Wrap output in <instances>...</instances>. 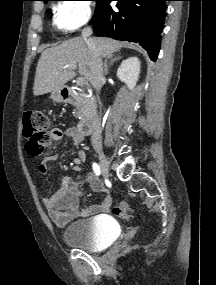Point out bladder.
<instances>
[{"instance_id": "bladder-1", "label": "bladder", "mask_w": 216, "mask_h": 285, "mask_svg": "<svg viewBox=\"0 0 216 285\" xmlns=\"http://www.w3.org/2000/svg\"><path fill=\"white\" fill-rule=\"evenodd\" d=\"M117 235V226L107 216H98L70 223L63 231V240L69 246L98 252L108 248Z\"/></svg>"}]
</instances>
